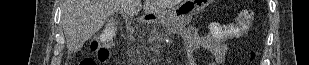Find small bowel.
Wrapping results in <instances>:
<instances>
[{
    "label": "small bowel",
    "mask_w": 309,
    "mask_h": 65,
    "mask_svg": "<svg viewBox=\"0 0 309 65\" xmlns=\"http://www.w3.org/2000/svg\"><path fill=\"white\" fill-rule=\"evenodd\" d=\"M183 42L187 54L185 65H198L194 57L195 51L203 47L211 54L212 60L207 65L224 64L229 52V45L225 40H219L211 34H200L194 27H187L183 33Z\"/></svg>",
    "instance_id": "1"
}]
</instances>
